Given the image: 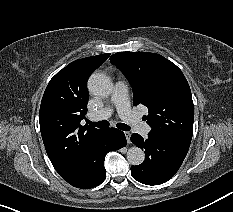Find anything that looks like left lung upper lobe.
I'll list each match as a JSON object with an SVG mask.
<instances>
[{
    "instance_id": "5c2ea615",
    "label": "left lung upper lobe",
    "mask_w": 233,
    "mask_h": 212,
    "mask_svg": "<svg viewBox=\"0 0 233 212\" xmlns=\"http://www.w3.org/2000/svg\"><path fill=\"white\" fill-rule=\"evenodd\" d=\"M133 88V104H143L149 134L190 145L194 105L182 71L165 57L148 52H118L110 57Z\"/></svg>"
}]
</instances>
